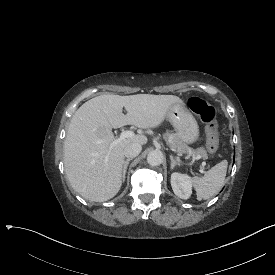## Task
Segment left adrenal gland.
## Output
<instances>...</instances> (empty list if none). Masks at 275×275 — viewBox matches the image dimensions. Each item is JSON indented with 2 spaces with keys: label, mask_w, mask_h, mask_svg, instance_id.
Here are the masks:
<instances>
[{
  "label": "left adrenal gland",
  "mask_w": 275,
  "mask_h": 275,
  "mask_svg": "<svg viewBox=\"0 0 275 275\" xmlns=\"http://www.w3.org/2000/svg\"><path fill=\"white\" fill-rule=\"evenodd\" d=\"M170 160H171V165H170V168H171V169L174 167L175 164H178V165L181 164L180 161H177V160L173 157L172 154L170 155Z\"/></svg>",
  "instance_id": "a2214340"
}]
</instances>
